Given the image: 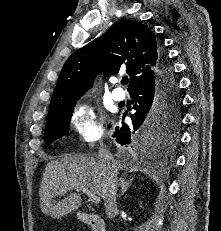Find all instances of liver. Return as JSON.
<instances>
[{
  "label": "liver",
  "instance_id": "6515ba94",
  "mask_svg": "<svg viewBox=\"0 0 221 231\" xmlns=\"http://www.w3.org/2000/svg\"><path fill=\"white\" fill-rule=\"evenodd\" d=\"M80 187L88 188L105 200V171L97 158L88 154H64L50 161L39 190L41 211L58 219L77 210L82 204ZM72 189L77 193H71L58 202L54 200L58 194L65 195Z\"/></svg>",
  "mask_w": 221,
  "mask_h": 231
}]
</instances>
